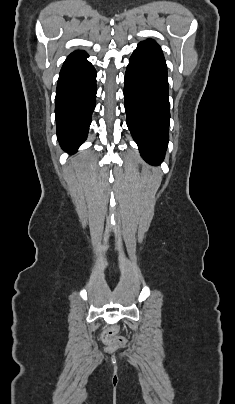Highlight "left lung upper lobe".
Listing matches in <instances>:
<instances>
[{
	"label": "left lung upper lobe",
	"mask_w": 235,
	"mask_h": 404,
	"mask_svg": "<svg viewBox=\"0 0 235 404\" xmlns=\"http://www.w3.org/2000/svg\"><path fill=\"white\" fill-rule=\"evenodd\" d=\"M140 43L150 44V45H154V46L159 47L158 44H157L155 41H153V40L142 41V42H140Z\"/></svg>",
	"instance_id": "1"
}]
</instances>
